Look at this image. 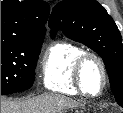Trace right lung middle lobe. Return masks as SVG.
Instances as JSON below:
<instances>
[{"label": "right lung middle lobe", "mask_w": 123, "mask_h": 113, "mask_svg": "<svg viewBox=\"0 0 123 113\" xmlns=\"http://www.w3.org/2000/svg\"><path fill=\"white\" fill-rule=\"evenodd\" d=\"M43 37L1 42V95L29 89Z\"/></svg>", "instance_id": "1"}]
</instances>
